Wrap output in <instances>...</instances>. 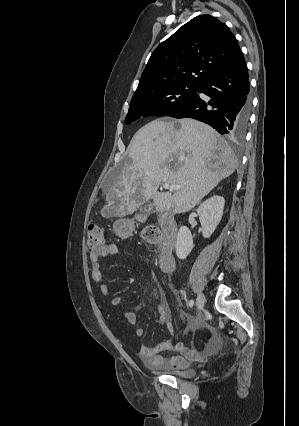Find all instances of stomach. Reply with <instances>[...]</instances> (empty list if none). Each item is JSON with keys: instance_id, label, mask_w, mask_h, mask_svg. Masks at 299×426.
<instances>
[{"instance_id": "0dacf381", "label": "stomach", "mask_w": 299, "mask_h": 426, "mask_svg": "<svg viewBox=\"0 0 299 426\" xmlns=\"http://www.w3.org/2000/svg\"><path fill=\"white\" fill-rule=\"evenodd\" d=\"M114 227L118 234H123L125 232L123 220H118L115 222Z\"/></svg>"}]
</instances>
